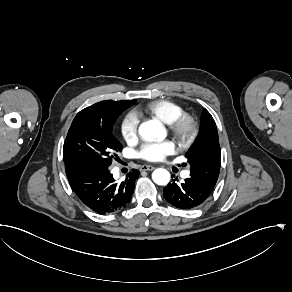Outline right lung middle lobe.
Listing matches in <instances>:
<instances>
[{
    "label": "right lung middle lobe",
    "mask_w": 292,
    "mask_h": 292,
    "mask_svg": "<svg viewBox=\"0 0 292 292\" xmlns=\"http://www.w3.org/2000/svg\"><path fill=\"white\" fill-rule=\"evenodd\" d=\"M131 104L101 101L80 111L74 118L63 147L65 164L85 163L108 168L122 144L112 133L118 116Z\"/></svg>",
    "instance_id": "obj_1"
}]
</instances>
